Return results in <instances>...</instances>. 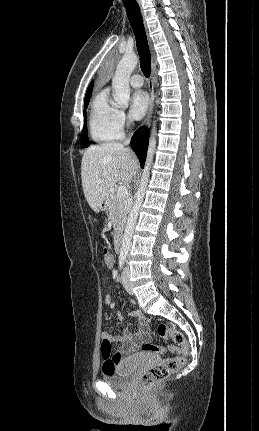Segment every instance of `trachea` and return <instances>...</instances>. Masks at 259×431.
Masks as SVG:
<instances>
[{
    "mask_svg": "<svg viewBox=\"0 0 259 431\" xmlns=\"http://www.w3.org/2000/svg\"><path fill=\"white\" fill-rule=\"evenodd\" d=\"M123 3L136 38L141 70L145 77H149L151 71V55L139 5L136 0H123Z\"/></svg>",
    "mask_w": 259,
    "mask_h": 431,
    "instance_id": "1",
    "label": "trachea"
}]
</instances>
